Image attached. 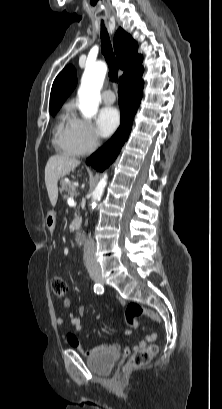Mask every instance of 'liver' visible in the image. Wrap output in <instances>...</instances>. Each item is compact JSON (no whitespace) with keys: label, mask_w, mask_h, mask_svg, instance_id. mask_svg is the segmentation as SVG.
Listing matches in <instances>:
<instances>
[{"label":"liver","mask_w":222,"mask_h":409,"mask_svg":"<svg viewBox=\"0 0 222 409\" xmlns=\"http://www.w3.org/2000/svg\"><path fill=\"white\" fill-rule=\"evenodd\" d=\"M79 164V160L64 155H53L48 159L45 167V185L53 207L58 199V180L68 175Z\"/></svg>","instance_id":"obj_1"}]
</instances>
